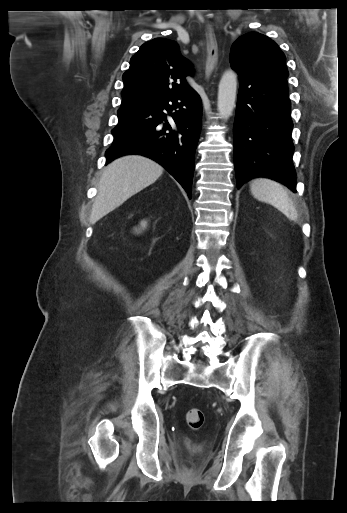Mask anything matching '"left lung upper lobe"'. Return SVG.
Here are the masks:
<instances>
[{
	"instance_id": "5c2ea615",
	"label": "left lung upper lobe",
	"mask_w": 347,
	"mask_h": 513,
	"mask_svg": "<svg viewBox=\"0 0 347 513\" xmlns=\"http://www.w3.org/2000/svg\"><path fill=\"white\" fill-rule=\"evenodd\" d=\"M230 64L238 73L247 76H288L285 55L274 41L260 33L244 34L233 43Z\"/></svg>"
}]
</instances>
